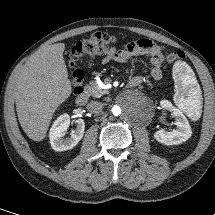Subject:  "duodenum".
<instances>
[{
    "label": "duodenum",
    "instance_id": "duodenum-1",
    "mask_svg": "<svg viewBox=\"0 0 215 215\" xmlns=\"http://www.w3.org/2000/svg\"><path fill=\"white\" fill-rule=\"evenodd\" d=\"M138 85L137 81H130L129 87H136ZM88 102V94L86 91H82L76 98V103L79 106H84Z\"/></svg>",
    "mask_w": 215,
    "mask_h": 215
}]
</instances>
